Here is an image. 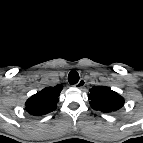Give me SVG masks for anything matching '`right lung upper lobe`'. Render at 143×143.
I'll return each instance as SVG.
<instances>
[{"instance_id": "cb5924a9", "label": "right lung upper lobe", "mask_w": 143, "mask_h": 143, "mask_svg": "<svg viewBox=\"0 0 143 143\" xmlns=\"http://www.w3.org/2000/svg\"><path fill=\"white\" fill-rule=\"evenodd\" d=\"M62 85L46 87L31 96L25 103L26 111L34 116H41L54 111L57 108Z\"/></svg>"}]
</instances>
